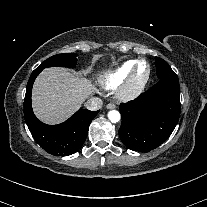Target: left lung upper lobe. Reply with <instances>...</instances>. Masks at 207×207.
I'll use <instances>...</instances> for the list:
<instances>
[{"instance_id": "5c2ea615", "label": "left lung upper lobe", "mask_w": 207, "mask_h": 207, "mask_svg": "<svg viewBox=\"0 0 207 207\" xmlns=\"http://www.w3.org/2000/svg\"><path fill=\"white\" fill-rule=\"evenodd\" d=\"M155 59H156L155 65L157 70V76L159 79H163L171 76H177L165 60L159 57H155Z\"/></svg>"}]
</instances>
